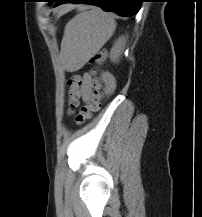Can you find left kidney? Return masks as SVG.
I'll use <instances>...</instances> for the list:
<instances>
[{
    "label": "left kidney",
    "mask_w": 202,
    "mask_h": 217,
    "mask_svg": "<svg viewBox=\"0 0 202 217\" xmlns=\"http://www.w3.org/2000/svg\"><path fill=\"white\" fill-rule=\"evenodd\" d=\"M123 48L119 43H116L110 52V60L114 63L119 61V58L121 57Z\"/></svg>",
    "instance_id": "1"
}]
</instances>
